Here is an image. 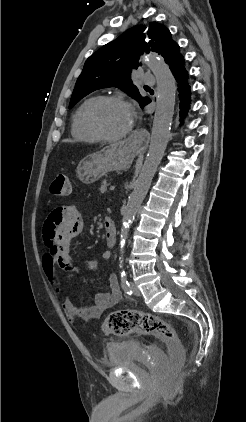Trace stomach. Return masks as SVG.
<instances>
[{
  "label": "stomach",
  "instance_id": "1",
  "mask_svg": "<svg viewBox=\"0 0 246 422\" xmlns=\"http://www.w3.org/2000/svg\"><path fill=\"white\" fill-rule=\"evenodd\" d=\"M135 149L129 143L118 142L84 158L77 167L79 180L91 184L111 171L128 169L133 161Z\"/></svg>",
  "mask_w": 246,
  "mask_h": 422
}]
</instances>
